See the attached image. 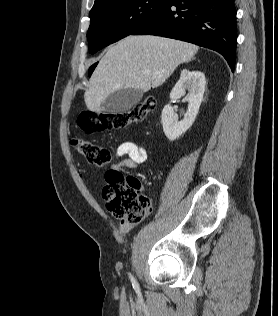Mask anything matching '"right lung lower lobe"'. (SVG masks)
<instances>
[{
    "mask_svg": "<svg viewBox=\"0 0 278 316\" xmlns=\"http://www.w3.org/2000/svg\"><path fill=\"white\" fill-rule=\"evenodd\" d=\"M131 35H156L219 52L235 68L237 41L234 0H165Z\"/></svg>",
    "mask_w": 278,
    "mask_h": 316,
    "instance_id": "obj_1",
    "label": "right lung lower lobe"
}]
</instances>
